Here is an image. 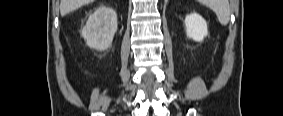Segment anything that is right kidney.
I'll return each instance as SVG.
<instances>
[{
	"label": "right kidney",
	"instance_id": "right-kidney-1",
	"mask_svg": "<svg viewBox=\"0 0 283 116\" xmlns=\"http://www.w3.org/2000/svg\"><path fill=\"white\" fill-rule=\"evenodd\" d=\"M117 27L116 12L101 6L89 16L81 35L90 48L103 51L111 47Z\"/></svg>",
	"mask_w": 283,
	"mask_h": 116
}]
</instances>
